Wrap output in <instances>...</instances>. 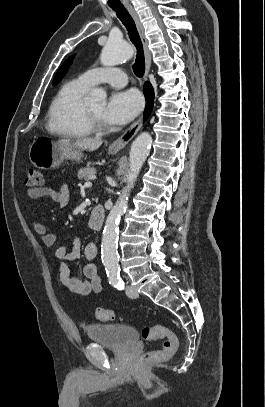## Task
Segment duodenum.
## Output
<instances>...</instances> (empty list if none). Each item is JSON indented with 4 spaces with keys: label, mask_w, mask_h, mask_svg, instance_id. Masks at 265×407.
Segmentation results:
<instances>
[{
    "label": "duodenum",
    "mask_w": 265,
    "mask_h": 407,
    "mask_svg": "<svg viewBox=\"0 0 265 407\" xmlns=\"http://www.w3.org/2000/svg\"><path fill=\"white\" fill-rule=\"evenodd\" d=\"M104 219H105L104 208L100 205H96L91 209L89 213L88 224L90 228L100 229L103 226Z\"/></svg>",
    "instance_id": "duodenum-1"
}]
</instances>
